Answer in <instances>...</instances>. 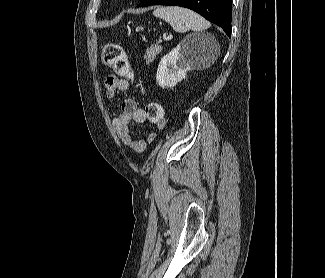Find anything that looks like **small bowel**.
Wrapping results in <instances>:
<instances>
[{
	"mask_svg": "<svg viewBox=\"0 0 325 278\" xmlns=\"http://www.w3.org/2000/svg\"><path fill=\"white\" fill-rule=\"evenodd\" d=\"M128 88L129 81L127 79L109 76L105 81V92L109 100H112L116 94L125 93ZM145 120V113L138 107L137 102L132 98H123L120 111L114 118L113 124L122 142L136 152L143 151L147 144L154 142V134L152 133L147 135L146 138L139 139L133 138L131 134V122L143 123Z\"/></svg>",
	"mask_w": 325,
	"mask_h": 278,
	"instance_id": "small-bowel-1",
	"label": "small bowel"
}]
</instances>
